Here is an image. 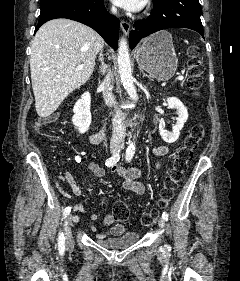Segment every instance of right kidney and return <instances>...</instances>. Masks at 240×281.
<instances>
[{
  "mask_svg": "<svg viewBox=\"0 0 240 281\" xmlns=\"http://www.w3.org/2000/svg\"><path fill=\"white\" fill-rule=\"evenodd\" d=\"M90 105L91 95L89 92H86L75 103L73 108L74 116L72 118V122L81 134L88 131L91 124Z\"/></svg>",
  "mask_w": 240,
  "mask_h": 281,
  "instance_id": "1",
  "label": "right kidney"
}]
</instances>
